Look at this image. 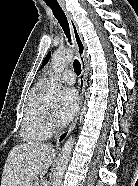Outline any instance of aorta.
Masks as SVG:
<instances>
[{"instance_id":"obj_1","label":"aorta","mask_w":138,"mask_h":186,"mask_svg":"<svg viewBox=\"0 0 138 186\" xmlns=\"http://www.w3.org/2000/svg\"><path fill=\"white\" fill-rule=\"evenodd\" d=\"M74 52L71 49L62 51H56L51 59L53 72L51 74V84L48 89L49 100L53 103H57L60 100L61 95V82L60 73L64 71L66 66L72 61ZM75 143V139L71 136L62 148V152L54 173L52 186H61L62 179L66 167L68 165L71 152Z\"/></svg>"}]
</instances>
